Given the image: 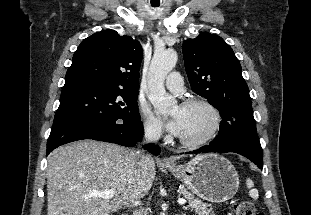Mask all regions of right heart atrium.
<instances>
[{"label": "right heart atrium", "instance_id": "1", "mask_svg": "<svg viewBox=\"0 0 311 215\" xmlns=\"http://www.w3.org/2000/svg\"><path fill=\"white\" fill-rule=\"evenodd\" d=\"M138 110L144 134L148 138L159 139L163 134L162 126L157 118L153 115L150 108L144 103H139Z\"/></svg>", "mask_w": 311, "mask_h": 215}]
</instances>
